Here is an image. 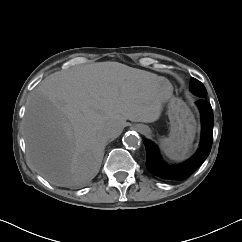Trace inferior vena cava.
Segmentation results:
<instances>
[{
    "mask_svg": "<svg viewBox=\"0 0 242 242\" xmlns=\"http://www.w3.org/2000/svg\"><path fill=\"white\" fill-rule=\"evenodd\" d=\"M122 127L118 122H112L107 128V135L111 139H116L121 133Z\"/></svg>",
    "mask_w": 242,
    "mask_h": 242,
    "instance_id": "inferior-vena-cava-1",
    "label": "inferior vena cava"
}]
</instances>
